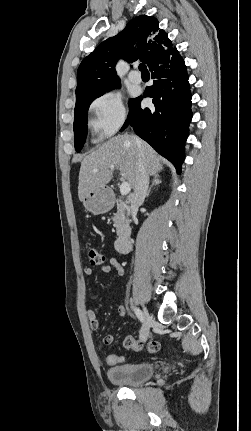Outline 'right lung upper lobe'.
<instances>
[{
    "mask_svg": "<svg viewBox=\"0 0 251 431\" xmlns=\"http://www.w3.org/2000/svg\"><path fill=\"white\" fill-rule=\"evenodd\" d=\"M158 25L155 17L140 15L117 36L103 41L78 68L76 97L119 83L115 65L120 58L130 63L140 59L149 68L168 60L175 48Z\"/></svg>",
    "mask_w": 251,
    "mask_h": 431,
    "instance_id": "obj_1",
    "label": "right lung upper lobe"
}]
</instances>
